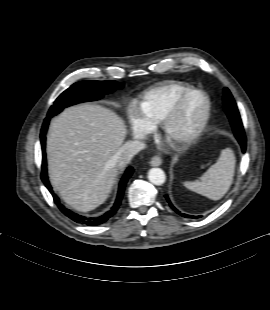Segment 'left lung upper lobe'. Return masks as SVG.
<instances>
[{
	"label": "left lung upper lobe",
	"instance_id": "5c2ea615",
	"mask_svg": "<svg viewBox=\"0 0 270 310\" xmlns=\"http://www.w3.org/2000/svg\"><path fill=\"white\" fill-rule=\"evenodd\" d=\"M224 110L230 120L235 136L244 134L239 111L230 91L227 88L224 89Z\"/></svg>",
	"mask_w": 270,
	"mask_h": 310
}]
</instances>
